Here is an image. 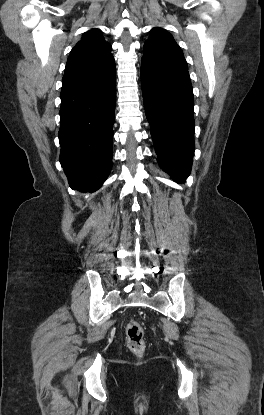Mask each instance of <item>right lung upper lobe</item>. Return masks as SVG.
I'll return each mask as SVG.
<instances>
[{
	"label": "right lung upper lobe",
	"mask_w": 264,
	"mask_h": 415,
	"mask_svg": "<svg viewBox=\"0 0 264 415\" xmlns=\"http://www.w3.org/2000/svg\"><path fill=\"white\" fill-rule=\"evenodd\" d=\"M115 72V60L111 45L101 31L92 29L84 33L73 47L67 60L62 79L63 86L94 81Z\"/></svg>",
	"instance_id": "1"
}]
</instances>
